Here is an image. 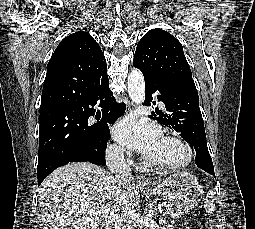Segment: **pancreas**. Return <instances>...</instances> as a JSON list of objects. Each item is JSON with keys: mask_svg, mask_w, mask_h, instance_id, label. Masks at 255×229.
Listing matches in <instances>:
<instances>
[{"mask_svg": "<svg viewBox=\"0 0 255 229\" xmlns=\"http://www.w3.org/2000/svg\"><path fill=\"white\" fill-rule=\"evenodd\" d=\"M161 229H174V225L172 223L164 221Z\"/></svg>", "mask_w": 255, "mask_h": 229, "instance_id": "pancreas-1", "label": "pancreas"}]
</instances>
